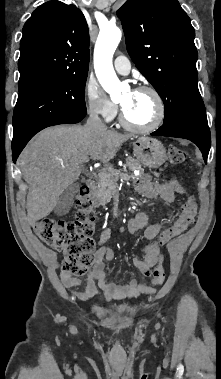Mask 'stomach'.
<instances>
[{
    "label": "stomach",
    "mask_w": 221,
    "mask_h": 379,
    "mask_svg": "<svg viewBox=\"0 0 221 379\" xmlns=\"http://www.w3.org/2000/svg\"><path fill=\"white\" fill-rule=\"evenodd\" d=\"M134 155L149 168H158L167 160L166 150L157 139L139 137L134 142Z\"/></svg>",
    "instance_id": "1"
}]
</instances>
